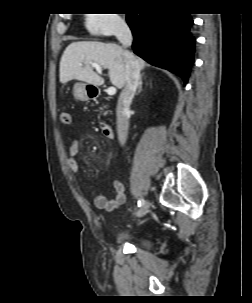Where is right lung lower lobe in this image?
<instances>
[{
  "instance_id": "1",
  "label": "right lung lower lobe",
  "mask_w": 252,
  "mask_h": 303,
  "mask_svg": "<svg viewBox=\"0 0 252 303\" xmlns=\"http://www.w3.org/2000/svg\"><path fill=\"white\" fill-rule=\"evenodd\" d=\"M134 53L187 83L194 56L193 20L185 13L128 14Z\"/></svg>"
}]
</instances>
